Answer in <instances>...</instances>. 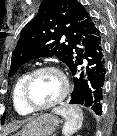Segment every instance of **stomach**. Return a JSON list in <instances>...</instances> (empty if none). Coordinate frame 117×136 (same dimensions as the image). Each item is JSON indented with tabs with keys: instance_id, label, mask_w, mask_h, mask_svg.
Returning <instances> with one entry per match:
<instances>
[{
	"instance_id": "0dacf381",
	"label": "stomach",
	"mask_w": 117,
	"mask_h": 136,
	"mask_svg": "<svg viewBox=\"0 0 117 136\" xmlns=\"http://www.w3.org/2000/svg\"><path fill=\"white\" fill-rule=\"evenodd\" d=\"M59 119L52 114H41L27 123L15 136H50L59 125Z\"/></svg>"
}]
</instances>
